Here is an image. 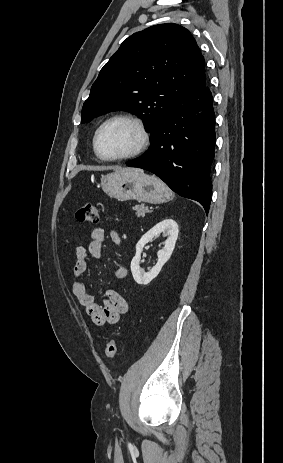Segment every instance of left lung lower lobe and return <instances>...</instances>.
Masks as SVG:
<instances>
[{"instance_id": "0a47b994", "label": "left lung lower lobe", "mask_w": 283, "mask_h": 463, "mask_svg": "<svg viewBox=\"0 0 283 463\" xmlns=\"http://www.w3.org/2000/svg\"><path fill=\"white\" fill-rule=\"evenodd\" d=\"M214 148L212 94L204 84L156 129L149 151L127 165L154 173L178 195L198 201L208 213Z\"/></svg>"}]
</instances>
